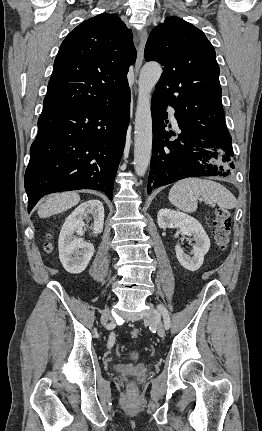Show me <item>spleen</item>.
<instances>
[{"label":"spleen","mask_w":262,"mask_h":431,"mask_svg":"<svg viewBox=\"0 0 262 431\" xmlns=\"http://www.w3.org/2000/svg\"><path fill=\"white\" fill-rule=\"evenodd\" d=\"M168 198L174 206L187 213L196 211L200 198L207 204H217L225 209H233L237 205L236 198L226 187L201 178H186L176 182Z\"/></svg>","instance_id":"obj_1"}]
</instances>
